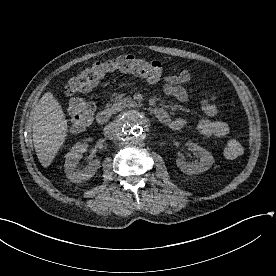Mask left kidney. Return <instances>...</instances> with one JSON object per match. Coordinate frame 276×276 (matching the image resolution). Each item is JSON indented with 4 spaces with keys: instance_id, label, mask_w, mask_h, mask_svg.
I'll use <instances>...</instances> for the list:
<instances>
[{
    "instance_id": "obj_1",
    "label": "left kidney",
    "mask_w": 276,
    "mask_h": 276,
    "mask_svg": "<svg viewBox=\"0 0 276 276\" xmlns=\"http://www.w3.org/2000/svg\"><path fill=\"white\" fill-rule=\"evenodd\" d=\"M186 145L193 151L198 152L200 161L195 163H188L183 159H177V167L185 174L193 175L207 171L213 164L214 158L206 149L198 146L193 142H187Z\"/></svg>"
}]
</instances>
